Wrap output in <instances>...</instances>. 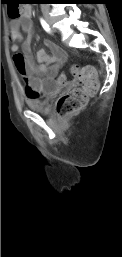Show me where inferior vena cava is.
Returning <instances> with one entry per match:
<instances>
[{
    "instance_id": "obj_1",
    "label": "inferior vena cava",
    "mask_w": 122,
    "mask_h": 257,
    "mask_svg": "<svg viewBox=\"0 0 122 257\" xmlns=\"http://www.w3.org/2000/svg\"><path fill=\"white\" fill-rule=\"evenodd\" d=\"M41 8L42 10H47L49 8V4H42Z\"/></svg>"
}]
</instances>
